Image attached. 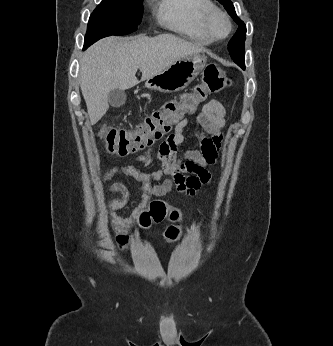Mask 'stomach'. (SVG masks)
<instances>
[{"mask_svg":"<svg viewBox=\"0 0 333 346\" xmlns=\"http://www.w3.org/2000/svg\"><path fill=\"white\" fill-rule=\"evenodd\" d=\"M207 57L202 53H195L184 57L162 72L146 80L148 89L163 93L177 92L186 88L203 70Z\"/></svg>","mask_w":333,"mask_h":346,"instance_id":"0dacf381","label":"stomach"}]
</instances>
